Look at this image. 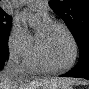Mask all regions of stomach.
I'll return each instance as SVG.
<instances>
[{
	"label": "stomach",
	"instance_id": "stomach-1",
	"mask_svg": "<svg viewBox=\"0 0 89 89\" xmlns=\"http://www.w3.org/2000/svg\"><path fill=\"white\" fill-rule=\"evenodd\" d=\"M49 89H73L71 86L68 85H59L55 88H49Z\"/></svg>",
	"mask_w": 89,
	"mask_h": 89
}]
</instances>
